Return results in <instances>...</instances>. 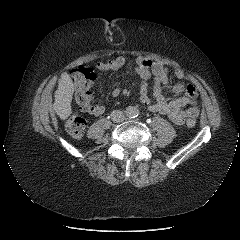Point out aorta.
I'll return each instance as SVG.
<instances>
[{
  "label": "aorta",
  "mask_w": 240,
  "mask_h": 240,
  "mask_svg": "<svg viewBox=\"0 0 240 240\" xmlns=\"http://www.w3.org/2000/svg\"><path fill=\"white\" fill-rule=\"evenodd\" d=\"M125 114L130 118H135L139 114V110L134 106H129L125 110Z\"/></svg>",
  "instance_id": "aorta-1"
}]
</instances>
